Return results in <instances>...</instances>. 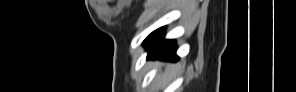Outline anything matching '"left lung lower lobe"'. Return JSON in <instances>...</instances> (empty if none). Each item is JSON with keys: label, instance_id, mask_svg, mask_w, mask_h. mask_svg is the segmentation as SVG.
I'll return each mask as SVG.
<instances>
[{"label": "left lung lower lobe", "instance_id": "0a47b994", "mask_svg": "<svg viewBox=\"0 0 296 92\" xmlns=\"http://www.w3.org/2000/svg\"><path fill=\"white\" fill-rule=\"evenodd\" d=\"M164 27H161L152 32L143 42V45L148 51V58L163 59V60H177L176 44L174 40L164 39Z\"/></svg>", "mask_w": 296, "mask_h": 92}]
</instances>
